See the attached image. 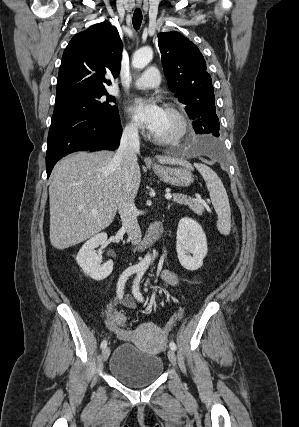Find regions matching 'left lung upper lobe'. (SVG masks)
Instances as JSON below:
<instances>
[{
  "mask_svg": "<svg viewBox=\"0 0 299 427\" xmlns=\"http://www.w3.org/2000/svg\"><path fill=\"white\" fill-rule=\"evenodd\" d=\"M162 66L170 90L185 104L191 119H200L206 109L210 134L219 137V119L216 115L212 80L206 71V62L198 47L182 34L171 31L159 33Z\"/></svg>",
  "mask_w": 299,
  "mask_h": 427,
  "instance_id": "obj_1",
  "label": "left lung upper lobe"
}]
</instances>
